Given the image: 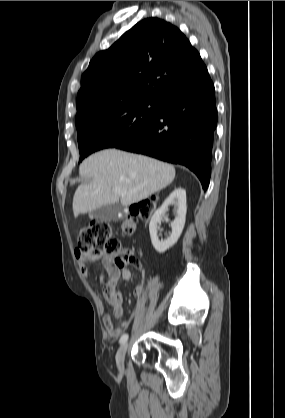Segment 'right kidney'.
Returning <instances> with one entry per match:
<instances>
[{"mask_svg":"<svg viewBox=\"0 0 285 418\" xmlns=\"http://www.w3.org/2000/svg\"><path fill=\"white\" fill-rule=\"evenodd\" d=\"M171 204L177 207L176 217L171 223L172 233L166 240H159L157 235V224L161 222L162 216ZM186 211V191L182 188H176L164 201L161 207L155 211L149 224V232L152 245L157 252H165L178 241L185 225Z\"/></svg>","mask_w":285,"mask_h":418,"instance_id":"1","label":"right kidney"}]
</instances>
